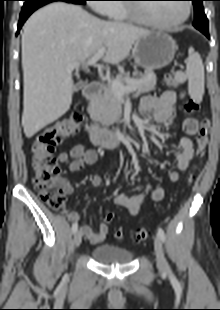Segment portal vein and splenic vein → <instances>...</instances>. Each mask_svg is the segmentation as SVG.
Instances as JSON below:
<instances>
[{
  "label": "portal vein and splenic vein",
  "mask_w": 220,
  "mask_h": 310,
  "mask_svg": "<svg viewBox=\"0 0 220 310\" xmlns=\"http://www.w3.org/2000/svg\"><path fill=\"white\" fill-rule=\"evenodd\" d=\"M105 52H106V48L101 47L100 49H98L96 54H94L90 59H88V61L84 65L95 64L100 58H102L104 56ZM78 67H79V63H72L68 66L67 69L69 71H73L74 69H77ZM111 86H112V90L114 91V93L118 97H122L124 95V93H126V92H134L136 90L135 84H130L128 86H124L123 84H121L116 79H114L112 81Z\"/></svg>",
  "instance_id": "1"
}]
</instances>
